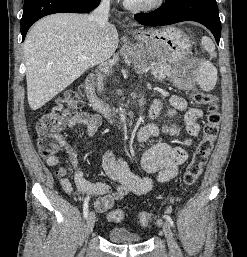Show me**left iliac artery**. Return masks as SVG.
<instances>
[{"label": "left iliac artery", "mask_w": 247, "mask_h": 257, "mask_svg": "<svg viewBox=\"0 0 247 257\" xmlns=\"http://www.w3.org/2000/svg\"><path fill=\"white\" fill-rule=\"evenodd\" d=\"M164 218L169 222V224H170L171 226L174 225V222H173V220H172V218H171L170 216L165 215Z\"/></svg>", "instance_id": "1"}]
</instances>
